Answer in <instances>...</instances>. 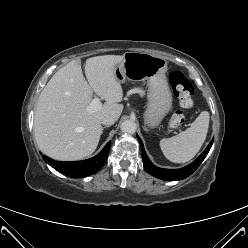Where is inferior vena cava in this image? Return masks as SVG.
Listing matches in <instances>:
<instances>
[{
    "mask_svg": "<svg viewBox=\"0 0 248 248\" xmlns=\"http://www.w3.org/2000/svg\"><path fill=\"white\" fill-rule=\"evenodd\" d=\"M114 122H115V118L113 116H109V115H106V116L102 117V119H101V123L103 125H107V126L113 125Z\"/></svg>",
    "mask_w": 248,
    "mask_h": 248,
    "instance_id": "602c4592",
    "label": "inferior vena cava"
}]
</instances>
